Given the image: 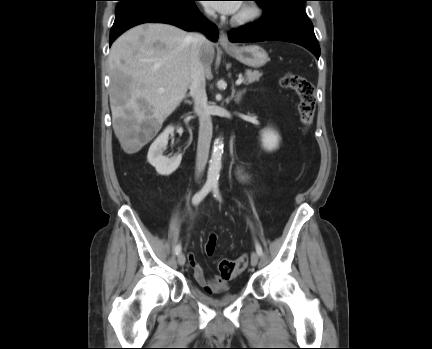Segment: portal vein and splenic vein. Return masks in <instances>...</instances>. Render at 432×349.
<instances>
[{"label": "portal vein and splenic vein", "instance_id": "portal-vein-and-splenic-vein-1", "mask_svg": "<svg viewBox=\"0 0 432 349\" xmlns=\"http://www.w3.org/2000/svg\"><path fill=\"white\" fill-rule=\"evenodd\" d=\"M242 82H243V78L240 77V78L237 79L236 85H240Z\"/></svg>", "mask_w": 432, "mask_h": 349}]
</instances>
